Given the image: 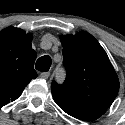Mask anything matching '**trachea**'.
<instances>
[{
    "label": "trachea",
    "mask_w": 125,
    "mask_h": 125,
    "mask_svg": "<svg viewBox=\"0 0 125 125\" xmlns=\"http://www.w3.org/2000/svg\"><path fill=\"white\" fill-rule=\"evenodd\" d=\"M51 63L52 60L50 56L45 55L37 60L35 68L41 72H46L50 69Z\"/></svg>",
    "instance_id": "3493384b"
}]
</instances>
